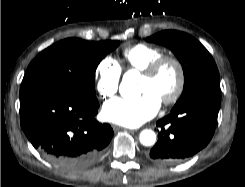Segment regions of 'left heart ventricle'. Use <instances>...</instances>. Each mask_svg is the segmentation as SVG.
Masks as SVG:
<instances>
[{
    "label": "left heart ventricle",
    "instance_id": "b2bd125f",
    "mask_svg": "<svg viewBox=\"0 0 245 187\" xmlns=\"http://www.w3.org/2000/svg\"><path fill=\"white\" fill-rule=\"evenodd\" d=\"M177 83V72L174 66L167 64L153 78L142 77L140 92L151 91L162 100L174 91Z\"/></svg>",
    "mask_w": 245,
    "mask_h": 187
}]
</instances>
